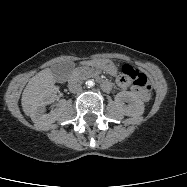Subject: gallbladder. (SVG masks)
Wrapping results in <instances>:
<instances>
[{
    "mask_svg": "<svg viewBox=\"0 0 187 187\" xmlns=\"http://www.w3.org/2000/svg\"><path fill=\"white\" fill-rule=\"evenodd\" d=\"M74 68L72 61H66L56 64L52 67V73L57 81L65 80Z\"/></svg>",
    "mask_w": 187,
    "mask_h": 187,
    "instance_id": "gallbladder-1",
    "label": "gallbladder"
}]
</instances>
